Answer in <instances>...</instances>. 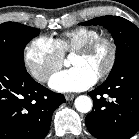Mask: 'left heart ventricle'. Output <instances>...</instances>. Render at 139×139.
I'll return each mask as SVG.
<instances>
[{
    "label": "left heart ventricle",
    "mask_w": 139,
    "mask_h": 139,
    "mask_svg": "<svg viewBox=\"0 0 139 139\" xmlns=\"http://www.w3.org/2000/svg\"><path fill=\"white\" fill-rule=\"evenodd\" d=\"M108 58V47L106 45H101L96 50L88 54L75 53L70 62L72 66L84 67L98 76L106 66Z\"/></svg>",
    "instance_id": "1"
}]
</instances>
